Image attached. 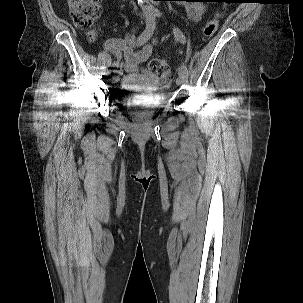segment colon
<instances>
[{
	"mask_svg": "<svg viewBox=\"0 0 303 303\" xmlns=\"http://www.w3.org/2000/svg\"><path fill=\"white\" fill-rule=\"evenodd\" d=\"M68 7L75 25L78 28L88 30L91 37H93L95 35L94 22L100 15L101 0H68ZM218 24V16L208 20L203 29L205 37L213 36ZM149 70L157 81L162 84H168L172 80L170 67L162 59H152L149 63Z\"/></svg>",
	"mask_w": 303,
	"mask_h": 303,
	"instance_id": "obj_1",
	"label": "colon"
}]
</instances>
